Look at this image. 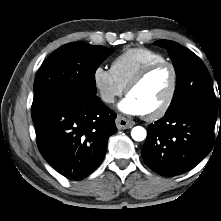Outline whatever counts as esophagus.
Listing matches in <instances>:
<instances>
[{
	"label": "esophagus",
	"mask_w": 221,
	"mask_h": 221,
	"mask_svg": "<svg viewBox=\"0 0 221 221\" xmlns=\"http://www.w3.org/2000/svg\"><path fill=\"white\" fill-rule=\"evenodd\" d=\"M135 125V122L126 119L125 117L118 115L116 118V126L118 129H128L132 128Z\"/></svg>",
	"instance_id": "esophagus-1"
}]
</instances>
